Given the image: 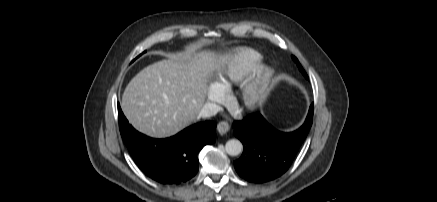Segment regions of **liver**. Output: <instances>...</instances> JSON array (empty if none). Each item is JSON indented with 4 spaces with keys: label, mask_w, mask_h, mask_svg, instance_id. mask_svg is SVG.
Wrapping results in <instances>:
<instances>
[{
    "label": "liver",
    "mask_w": 437,
    "mask_h": 202,
    "mask_svg": "<svg viewBox=\"0 0 437 202\" xmlns=\"http://www.w3.org/2000/svg\"><path fill=\"white\" fill-rule=\"evenodd\" d=\"M228 60L225 54L191 49L145 67L125 88L124 115L148 136L176 134L199 118L208 81Z\"/></svg>",
    "instance_id": "liver-1"
}]
</instances>
